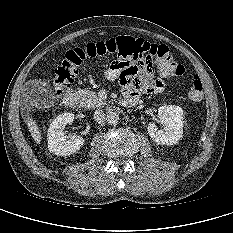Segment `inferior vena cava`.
I'll list each match as a JSON object with an SVG mask.
<instances>
[{
	"instance_id": "inferior-vena-cava-1",
	"label": "inferior vena cava",
	"mask_w": 233,
	"mask_h": 233,
	"mask_svg": "<svg viewBox=\"0 0 233 233\" xmlns=\"http://www.w3.org/2000/svg\"><path fill=\"white\" fill-rule=\"evenodd\" d=\"M94 119L97 123L102 124L106 119V114L103 110L97 109L94 112Z\"/></svg>"
}]
</instances>
